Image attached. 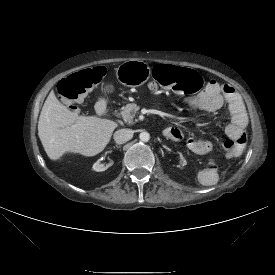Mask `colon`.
I'll use <instances>...</instances> for the list:
<instances>
[{
  "label": "colon",
  "mask_w": 275,
  "mask_h": 275,
  "mask_svg": "<svg viewBox=\"0 0 275 275\" xmlns=\"http://www.w3.org/2000/svg\"><path fill=\"white\" fill-rule=\"evenodd\" d=\"M105 75L106 69L103 66L73 73L60 82L59 94L63 99L78 101L87 92L99 85ZM153 78L163 88L180 94H194L203 87V81L196 71L173 65L160 64L155 66ZM246 142V134L237 139H226L223 142L225 155L227 157L237 156L243 150Z\"/></svg>",
  "instance_id": "obj_1"
}]
</instances>
